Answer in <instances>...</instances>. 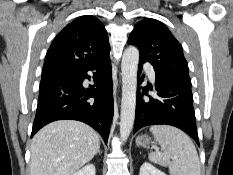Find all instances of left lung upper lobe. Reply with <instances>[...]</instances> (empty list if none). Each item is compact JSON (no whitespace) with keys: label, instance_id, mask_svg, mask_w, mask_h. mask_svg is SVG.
Wrapping results in <instances>:
<instances>
[{"label":"left lung upper lobe","instance_id":"left-lung-upper-lobe-1","mask_svg":"<svg viewBox=\"0 0 233 175\" xmlns=\"http://www.w3.org/2000/svg\"><path fill=\"white\" fill-rule=\"evenodd\" d=\"M128 43L137 46L140 59L151 63L155 72L191 82L182 47L161 22L154 19L138 22L129 36Z\"/></svg>","mask_w":233,"mask_h":175}]
</instances>
